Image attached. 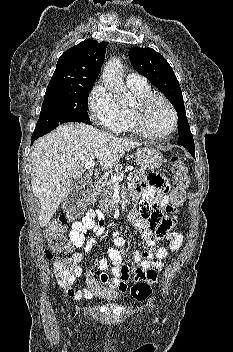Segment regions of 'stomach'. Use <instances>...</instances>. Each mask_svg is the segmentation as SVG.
<instances>
[{
    "label": "stomach",
    "instance_id": "stomach-1",
    "mask_svg": "<svg viewBox=\"0 0 233 352\" xmlns=\"http://www.w3.org/2000/svg\"><path fill=\"white\" fill-rule=\"evenodd\" d=\"M135 156L137 164L142 169L154 170L163 162L162 154L158 150L151 147L138 149Z\"/></svg>",
    "mask_w": 233,
    "mask_h": 352
}]
</instances>
